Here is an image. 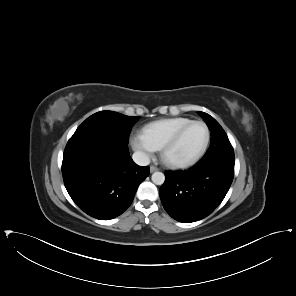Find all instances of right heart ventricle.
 Here are the masks:
<instances>
[{
    "label": "right heart ventricle",
    "instance_id": "obj_1",
    "mask_svg": "<svg viewBox=\"0 0 296 296\" xmlns=\"http://www.w3.org/2000/svg\"><path fill=\"white\" fill-rule=\"evenodd\" d=\"M190 121L184 117L161 119L145 126L143 134L157 149H160L179 128Z\"/></svg>",
    "mask_w": 296,
    "mask_h": 296
}]
</instances>
